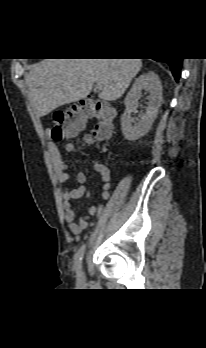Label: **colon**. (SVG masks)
Instances as JSON below:
<instances>
[{"label":"colon","instance_id":"colon-1","mask_svg":"<svg viewBox=\"0 0 206 348\" xmlns=\"http://www.w3.org/2000/svg\"><path fill=\"white\" fill-rule=\"evenodd\" d=\"M115 112L105 103L82 101L63 110L54 112L51 123V138L61 141L74 136L88 122H94L91 138L107 139L114 126Z\"/></svg>","mask_w":206,"mask_h":348}]
</instances>
